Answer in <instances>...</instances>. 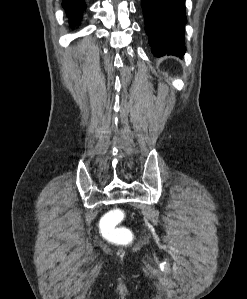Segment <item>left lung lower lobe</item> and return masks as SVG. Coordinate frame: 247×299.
I'll use <instances>...</instances> for the list:
<instances>
[{
    "mask_svg": "<svg viewBox=\"0 0 247 299\" xmlns=\"http://www.w3.org/2000/svg\"><path fill=\"white\" fill-rule=\"evenodd\" d=\"M145 30L155 56L185 53V0H141Z\"/></svg>",
    "mask_w": 247,
    "mask_h": 299,
    "instance_id": "1",
    "label": "left lung lower lobe"
}]
</instances>
